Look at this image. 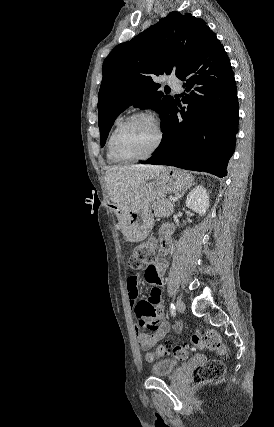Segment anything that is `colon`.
I'll list each match as a JSON object with an SVG mask.
<instances>
[{"mask_svg":"<svg viewBox=\"0 0 274 427\" xmlns=\"http://www.w3.org/2000/svg\"><path fill=\"white\" fill-rule=\"evenodd\" d=\"M158 252L156 240H150L139 244L127 259L129 271L138 272L146 267V262L154 261ZM192 342L195 348H203L214 351L220 355L227 353V347L223 343L220 335L212 329L198 330L192 334ZM162 347H147L145 362L151 363L152 357L155 359H166L167 353L178 360H186L190 357L191 349L188 346L165 344ZM226 367L223 362L211 359L202 363L195 371L193 388L202 389L203 385L218 382L225 376Z\"/></svg>","mask_w":274,"mask_h":427,"instance_id":"5ec220e1","label":"colon"}]
</instances>
